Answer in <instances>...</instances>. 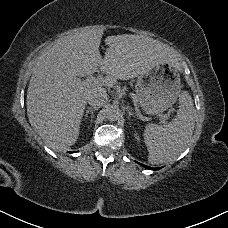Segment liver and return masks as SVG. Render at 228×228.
I'll use <instances>...</instances> for the list:
<instances>
[{"instance_id": "liver-1", "label": "liver", "mask_w": 228, "mask_h": 228, "mask_svg": "<svg viewBox=\"0 0 228 228\" xmlns=\"http://www.w3.org/2000/svg\"><path fill=\"white\" fill-rule=\"evenodd\" d=\"M103 30L90 29L59 39L34 62L27 90V116L43 143L65 151L79 136L80 124L92 91H106L117 80H129L161 64L177 67L178 54L170 46L144 35L122 34L105 38L102 58L99 46ZM100 68L107 74L99 85L86 77Z\"/></svg>"}]
</instances>
